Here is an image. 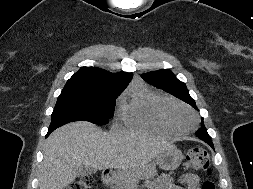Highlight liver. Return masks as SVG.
<instances>
[{
    "label": "liver",
    "mask_w": 253,
    "mask_h": 189,
    "mask_svg": "<svg viewBox=\"0 0 253 189\" xmlns=\"http://www.w3.org/2000/svg\"><path fill=\"white\" fill-rule=\"evenodd\" d=\"M166 139L133 130L104 132L90 122L78 121L55 130L47 139L39 173L40 189H63L71 184L80 166L95 170L120 169L126 186L136 189L149 163L174 148Z\"/></svg>",
    "instance_id": "obj_1"
}]
</instances>
